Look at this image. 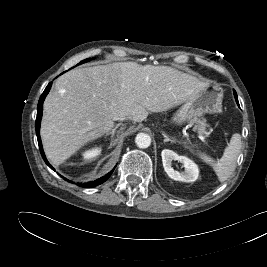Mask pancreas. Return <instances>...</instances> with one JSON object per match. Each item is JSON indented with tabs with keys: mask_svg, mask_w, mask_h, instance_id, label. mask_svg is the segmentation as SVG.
<instances>
[{
	"mask_svg": "<svg viewBox=\"0 0 267 267\" xmlns=\"http://www.w3.org/2000/svg\"><path fill=\"white\" fill-rule=\"evenodd\" d=\"M190 122L191 124L195 123V131H198L200 134H207L205 124L202 121H199L197 117H194Z\"/></svg>",
	"mask_w": 267,
	"mask_h": 267,
	"instance_id": "pancreas-1",
	"label": "pancreas"
}]
</instances>
